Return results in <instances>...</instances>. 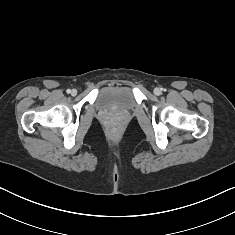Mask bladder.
I'll return each instance as SVG.
<instances>
[{
  "label": "bladder",
  "mask_w": 235,
  "mask_h": 235,
  "mask_svg": "<svg viewBox=\"0 0 235 235\" xmlns=\"http://www.w3.org/2000/svg\"><path fill=\"white\" fill-rule=\"evenodd\" d=\"M99 109L111 112H130L136 102L132 92L126 87L110 88L101 91L96 99Z\"/></svg>",
  "instance_id": "bladder-1"
}]
</instances>
